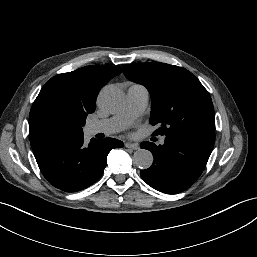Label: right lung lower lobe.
<instances>
[{
    "mask_svg": "<svg viewBox=\"0 0 257 257\" xmlns=\"http://www.w3.org/2000/svg\"><path fill=\"white\" fill-rule=\"evenodd\" d=\"M119 147H123V142L114 138L91 139L87 145L83 134L59 135L34 149L33 153L50 184L66 192H75L89 187L101 177L108 153Z\"/></svg>",
    "mask_w": 257,
    "mask_h": 257,
    "instance_id": "98d812e1",
    "label": "right lung lower lobe"
}]
</instances>
